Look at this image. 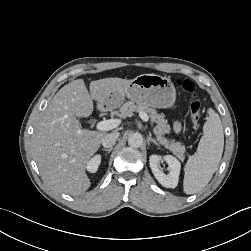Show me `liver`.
I'll return each instance as SVG.
<instances>
[{"mask_svg": "<svg viewBox=\"0 0 251 251\" xmlns=\"http://www.w3.org/2000/svg\"><path fill=\"white\" fill-rule=\"evenodd\" d=\"M132 80L105 78L92 81L88 92L83 79L64 85L35 124L32 152L45 181L55 190L79 195L91 185L86 164L106 134L81 128L77 118L92 114L93 100L104 104L110 92Z\"/></svg>", "mask_w": 251, "mask_h": 251, "instance_id": "obj_1", "label": "liver"}]
</instances>
